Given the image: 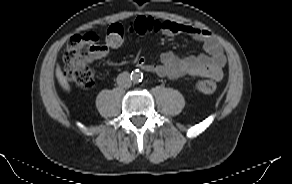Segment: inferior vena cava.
I'll return each instance as SVG.
<instances>
[{
	"label": "inferior vena cava",
	"instance_id": "1",
	"mask_svg": "<svg viewBox=\"0 0 292 184\" xmlns=\"http://www.w3.org/2000/svg\"><path fill=\"white\" fill-rule=\"evenodd\" d=\"M117 84L123 88H129L132 84L130 74L128 72H123L117 77Z\"/></svg>",
	"mask_w": 292,
	"mask_h": 184
}]
</instances>
